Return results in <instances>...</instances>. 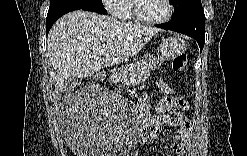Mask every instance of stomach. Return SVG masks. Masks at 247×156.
Listing matches in <instances>:
<instances>
[{
  "label": "stomach",
  "mask_w": 247,
  "mask_h": 156,
  "mask_svg": "<svg viewBox=\"0 0 247 156\" xmlns=\"http://www.w3.org/2000/svg\"><path fill=\"white\" fill-rule=\"evenodd\" d=\"M186 50V42L181 37H168L160 43L157 56L146 55L142 60L151 70L159 67L162 62L174 59Z\"/></svg>",
  "instance_id": "obj_1"
}]
</instances>
